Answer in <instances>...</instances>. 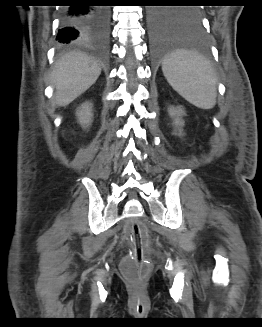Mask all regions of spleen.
I'll list each match as a JSON object with an SVG mask.
<instances>
[{"label": "spleen", "instance_id": "spleen-1", "mask_svg": "<svg viewBox=\"0 0 262 327\" xmlns=\"http://www.w3.org/2000/svg\"><path fill=\"white\" fill-rule=\"evenodd\" d=\"M168 83L191 104L210 109L216 103L217 79L209 61L184 50H179L162 63Z\"/></svg>", "mask_w": 262, "mask_h": 327}]
</instances>
